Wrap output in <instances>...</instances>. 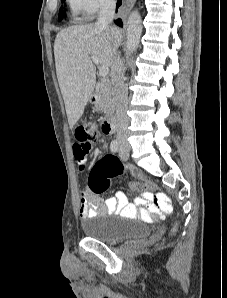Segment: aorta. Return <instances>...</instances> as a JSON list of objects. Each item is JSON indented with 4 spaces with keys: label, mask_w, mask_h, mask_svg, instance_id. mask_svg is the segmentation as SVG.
Listing matches in <instances>:
<instances>
[{
    "label": "aorta",
    "mask_w": 227,
    "mask_h": 298,
    "mask_svg": "<svg viewBox=\"0 0 227 298\" xmlns=\"http://www.w3.org/2000/svg\"><path fill=\"white\" fill-rule=\"evenodd\" d=\"M142 34V20L140 13L135 10L132 11L127 20V50L135 52L139 46Z\"/></svg>",
    "instance_id": "1"
}]
</instances>
